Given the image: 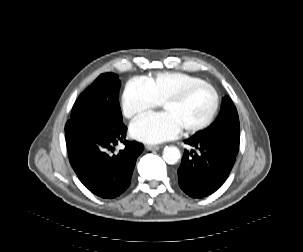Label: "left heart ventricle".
<instances>
[{
	"mask_svg": "<svg viewBox=\"0 0 303 252\" xmlns=\"http://www.w3.org/2000/svg\"><path fill=\"white\" fill-rule=\"evenodd\" d=\"M212 107L210 93L199 91L191 95L181 105H170L166 112L170 114L180 128H190L203 122Z\"/></svg>",
	"mask_w": 303,
	"mask_h": 252,
	"instance_id": "left-heart-ventricle-1",
	"label": "left heart ventricle"
}]
</instances>
